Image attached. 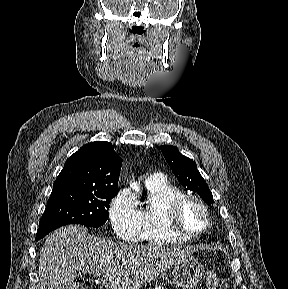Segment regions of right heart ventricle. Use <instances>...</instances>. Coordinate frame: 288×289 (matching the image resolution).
<instances>
[{"instance_id": "right-heart-ventricle-1", "label": "right heart ventricle", "mask_w": 288, "mask_h": 289, "mask_svg": "<svg viewBox=\"0 0 288 289\" xmlns=\"http://www.w3.org/2000/svg\"><path fill=\"white\" fill-rule=\"evenodd\" d=\"M147 200L140 209L142 231L140 239L156 245H174L187 242L186 238L173 232L165 220L167 203L183 194V191L166 179L161 183L146 184Z\"/></svg>"}]
</instances>
